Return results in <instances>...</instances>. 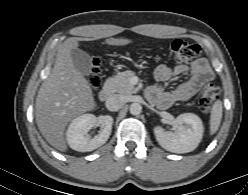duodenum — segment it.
Instances as JSON below:
<instances>
[{"instance_id": "1", "label": "duodenum", "mask_w": 248, "mask_h": 195, "mask_svg": "<svg viewBox=\"0 0 248 195\" xmlns=\"http://www.w3.org/2000/svg\"><path fill=\"white\" fill-rule=\"evenodd\" d=\"M113 95V86L110 82L106 83L99 91V99L102 102H107Z\"/></svg>"}]
</instances>
